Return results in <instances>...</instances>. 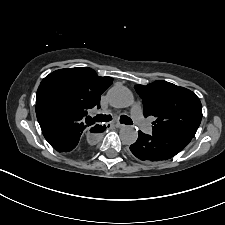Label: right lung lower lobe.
Masks as SVG:
<instances>
[{"label":"right lung lower lobe","mask_w":225,"mask_h":225,"mask_svg":"<svg viewBox=\"0 0 225 225\" xmlns=\"http://www.w3.org/2000/svg\"><path fill=\"white\" fill-rule=\"evenodd\" d=\"M35 111L45 139L60 153L72 156L86 154L87 149L80 140L82 134L88 130L96 133L106 129L105 126L93 125L87 117L48 106L36 105Z\"/></svg>","instance_id":"right-lung-lower-lobe-1"}]
</instances>
